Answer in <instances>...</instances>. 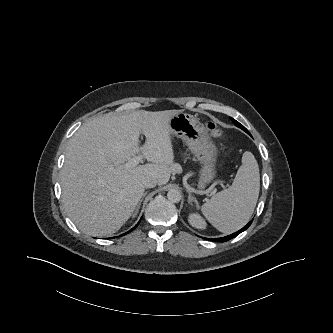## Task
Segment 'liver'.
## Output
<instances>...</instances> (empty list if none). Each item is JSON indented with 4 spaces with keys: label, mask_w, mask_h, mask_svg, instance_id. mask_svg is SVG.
I'll return each instance as SVG.
<instances>
[{
    "label": "liver",
    "mask_w": 333,
    "mask_h": 333,
    "mask_svg": "<svg viewBox=\"0 0 333 333\" xmlns=\"http://www.w3.org/2000/svg\"><path fill=\"white\" fill-rule=\"evenodd\" d=\"M181 110L108 113L84 123L70 139L61 172L62 201L82 232L108 236L131 217L144 182H169L174 166L170 119ZM146 137L140 147L139 136ZM151 163L128 167L138 153Z\"/></svg>",
    "instance_id": "liver-1"
}]
</instances>
